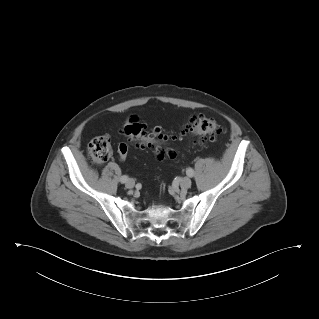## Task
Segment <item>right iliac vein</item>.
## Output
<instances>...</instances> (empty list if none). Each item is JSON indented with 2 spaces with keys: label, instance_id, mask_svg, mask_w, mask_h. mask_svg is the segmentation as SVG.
Here are the masks:
<instances>
[{
  "label": "right iliac vein",
  "instance_id": "63e3f726",
  "mask_svg": "<svg viewBox=\"0 0 319 319\" xmlns=\"http://www.w3.org/2000/svg\"><path fill=\"white\" fill-rule=\"evenodd\" d=\"M125 185L127 188L132 189L135 186V182L133 179H128Z\"/></svg>",
  "mask_w": 319,
  "mask_h": 319
}]
</instances>
